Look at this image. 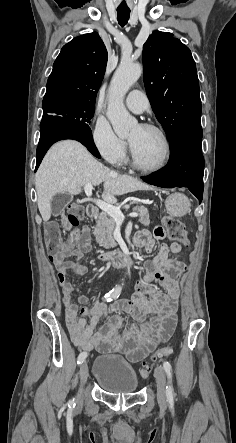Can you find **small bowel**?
Listing matches in <instances>:
<instances>
[{
	"mask_svg": "<svg viewBox=\"0 0 236 443\" xmlns=\"http://www.w3.org/2000/svg\"><path fill=\"white\" fill-rule=\"evenodd\" d=\"M155 239L159 238L155 235ZM154 238L148 231L140 232L134 239L137 247L151 251ZM64 250L77 258L76 262L54 260L57 270L56 279L61 292V301L65 309V319L70 337L74 344L84 352L98 349L102 352L122 351L132 361L143 359L157 344L166 342L174 333L177 323V301L180 294L177 279L185 271V265L177 259H170L171 251L178 255L181 246L177 243H162L157 255L146 263V272L135 286L132 301H119L110 307L89 302L87 296L81 295L73 299L76 286L70 281L69 275H85L88 267L82 262L84 256L91 252V234L88 227L74 229L67 243L62 244ZM156 281L163 286L165 292L155 290L150 282ZM121 313L130 314L140 323L139 328L129 326L124 331ZM111 314L108 322L96 331L99 321ZM91 316L86 320L83 316ZM135 357L133 359L132 357Z\"/></svg>",
	"mask_w": 236,
	"mask_h": 443,
	"instance_id": "small-bowel-1",
	"label": "small bowel"
}]
</instances>
